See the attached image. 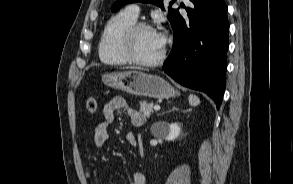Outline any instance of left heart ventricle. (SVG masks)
<instances>
[{
	"instance_id": "obj_1",
	"label": "left heart ventricle",
	"mask_w": 293,
	"mask_h": 184,
	"mask_svg": "<svg viewBox=\"0 0 293 184\" xmlns=\"http://www.w3.org/2000/svg\"><path fill=\"white\" fill-rule=\"evenodd\" d=\"M133 46L136 56L142 60L155 59L163 48L156 32L150 29L139 30L135 35Z\"/></svg>"
}]
</instances>
